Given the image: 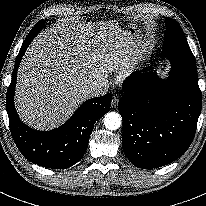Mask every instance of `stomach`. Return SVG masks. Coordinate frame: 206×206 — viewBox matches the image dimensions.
Returning a JSON list of instances; mask_svg holds the SVG:
<instances>
[{
  "instance_id": "1",
  "label": "stomach",
  "mask_w": 206,
  "mask_h": 206,
  "mask_svg": "<svg viewBox=\"0 0 206 206\" xmlns=\"http://www.w3.org/2000/svg\"><path fill=\"white\" fill-rule=\"evenodd\" d=\"M123 31L125 33H128V34L134 36V38L138 42L139 51L146 48V43H145L143 37H141L142 36L141 31H140V29H138L137 26H135L134 24L127 25L123 28Z\"/></svg>"
}]
</instances>
